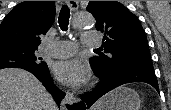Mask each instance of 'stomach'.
Returning a JSON list of instances; mask_svg holds the SVG:
<instances>
[{"label":"stomach","instance_id":"stomach-1","mask_svg":"<svg viewBox=\"0 0 171 110\" xmlns=\"http://www.w3.org/2000/svg\"><path fill=\"white\" fill-rule=\"evenodd\" d=\"M101 101L102 105L96 110H139L141 103L134 90L123 86L104 96Z\"/></svg>","mask_w":171,"mask_h":110}]
</instances>
